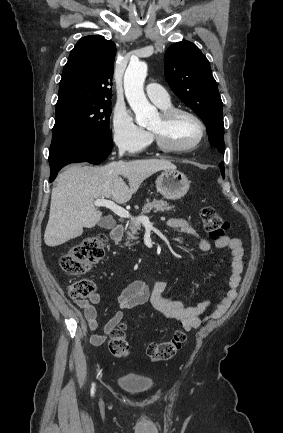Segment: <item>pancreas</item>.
Segmentation results:
<instances>
[{
    "label": "pancreas",
    "mask_w": 283,
    "mask_h": 433,
    "mask_svg": "<svg viewBox=\"0 0 283 433\" xmlns=\"http://www.w3.org/2000/svg\"><path fill=\"white\" fill-rule=\"evenodd\" d=\"M171 208H173V206H169V202H167V200H157V198H153L151 202H149V200L148 202H145L141 214H148L150 210H154V212L161 210V212H163V210H171ZM140 227H142V225H140L139 221H132V223H130V231L127 233L128 241L126 245L130 243V239H137L135 235H138L137 231H140Z\"/></svg>",
    "instance_id": "pancreas-1"
}]
</instances>
